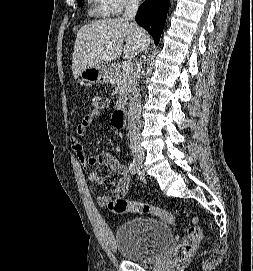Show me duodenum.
Segmentation results:
<instances>
[{"label":"duodenum","mask_w":253,"mask_h":271,"mask_svg":"<svg viewBox=\"0 0 253 271\" xmlns=\"http://www.w3.org/2000/svg\"><path fill=\"white\" fill-rule=\"evenodd\" d=\"M112 121L117 128H124L127 124L126 110L124 108L116 109L113 113Z\"/></svg>","instance_id":"duodenum-1"}]
</instances>
